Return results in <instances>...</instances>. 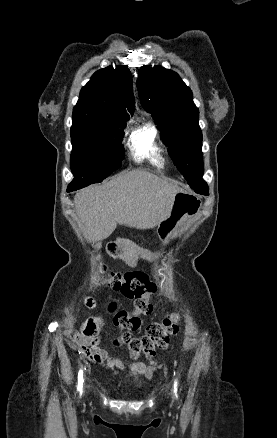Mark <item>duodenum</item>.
Masks as SVG:
<instances>
[{
  "instance_id": "obj_1",
  "label": "duodenum",
  "mask_w": 277,
  "mask_h": 438,
  "mask_svg": "<svg viewBox=\"0 0 277 438\" xmlns=\"http://www.w3.org/2000/svg\"><path fill=\"white\" fill-rule=\"evenodd\" d=\"M108 251L114 257H124L128 252V246L122 242L111 241L108 243Z\"/></svg>"
}]
</instances>
